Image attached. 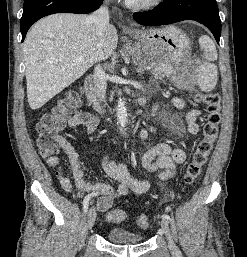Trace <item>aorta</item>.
Instances as JSON below:
<instances>
[{"label": "aorta", "mask_w": 247, "mask_h": 257, "mask_svg": "<svg viewBox=\"0 0 247 257\" xmlns=\"http://www.w3.org/2000/svg\"><path fill=\"white\" fill-rule=\"evenodd\" d=\"M117 124L120 126V131L123 133L125 131L126 122H127V108L125 101L120 99L117 103Z\"/></svg>", "instance_id": "762f6f07"}]
</instances>
